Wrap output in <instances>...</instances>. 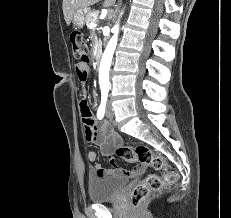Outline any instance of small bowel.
<instances>
[{"instance_id":"c3829d8e","label":"small bowel","mask_w":231,"mask_h":218,"mask_svg":"<svg viewBox=\"0 0 231 218\" xmlns=\"http://www.w3.org/2000/svg\"><path fill=\"white\" fill-rule=\"evenodd\" d=\"M87 65H90L89 56L80 58V61L75 66L76 75L82 84L80 109L84 122V133L88 141L99 145L102 154L109 158L111 165L110 168H104L101 164L96 163L97 154L94 151H90L87 154V160L94 164L92 173L98 176L122 175L126 177H136L143 173L145 166L140 164L131 169L120 167L114 157V152L120 145L118 135L108 123L97 125L94 121L93 113L88 104V93L85 88L87 76L90 73Z\"/></svg>"}]
</instances>
